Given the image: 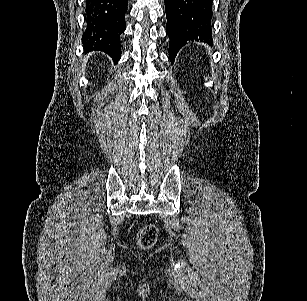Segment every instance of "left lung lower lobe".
<instances>
[{
	"mask_svg": "<svg viewBox=\"0 0 307 301\" xmlns=\"http://www.w3.org/2000/svg\"><path fill=\"white\" fill-rule=\"evenodd\" d=\"M165 11L172 63L187 41L212 42V0H165Z\"/></svg>",
	"mask_w": 307,
	"mask_h": 301,
	"instance_id": "obj_1",
	"label": "left lung lower lobe"
}]
</instances>
